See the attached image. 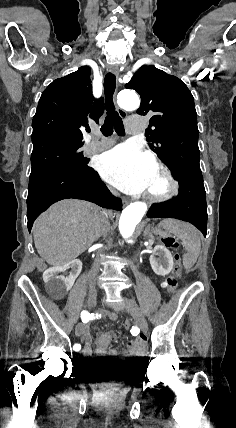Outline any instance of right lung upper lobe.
<instances>
[{
	"label": "right lung upper lobe",
	"instance_id": "obj_1",
	"mask_svg": "<svg viewBox=\"0 0 236 428\" xmlns=\"http://www.w3.org/2000/svg\"><path fill=\"white\" fill-rule=\"evenodd\" d=\"M103 98L92 95L90 68L54 80L42 93L33 117V147L51 141H83L88 120L98 123L103 114Z\"/></svg>",
	"mask_w": 236,
	"mask_h": 428
}]
</instances>
